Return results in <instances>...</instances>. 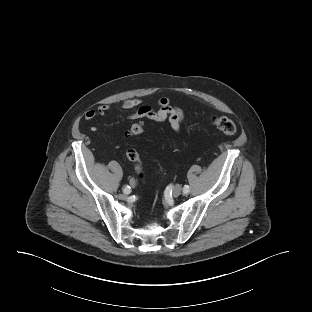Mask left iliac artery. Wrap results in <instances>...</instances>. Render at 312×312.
<instances>
[{
	"mask_svg": "<svg viewBox=\"0 0 312 312\" xmlns=\"http://www.w3.org/2000/svg\"><path fill=\"white\" fill-rule=\"evenodd\" d=\"M189 191H190L189 186L185 185L184 188H183V193L187 194Z\"/></svg>",
	"mask_w": 312,
	"mask_h": 312,
	"instance_id": "obj_1",
	"label": "left iliac artery"
}]
</instances>
